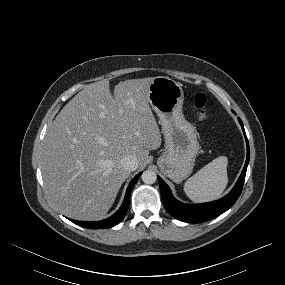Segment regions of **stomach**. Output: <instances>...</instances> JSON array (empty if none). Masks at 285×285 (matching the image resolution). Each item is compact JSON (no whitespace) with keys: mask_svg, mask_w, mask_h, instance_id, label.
Returning a JSON list of instances; mask_svg holds the SVG:
<instances>
[{"mask_svg":"<svg viewBox=\"0 0 285 285\" xmlns=\"http://www.w3.org/2000/svg\"><path fill=\"white\" fill-rule=\"evenodd\" d=\"M148 100L165 138V150L157 161L158 166L163 174L179 183L193 171L200 149L194 127L183 115L182 85L169 77H155L149 86Z\"/></svg>","mask_w":285,"mask_h":285,"instance_id":"1","label":"stomach"}]
</instances>
